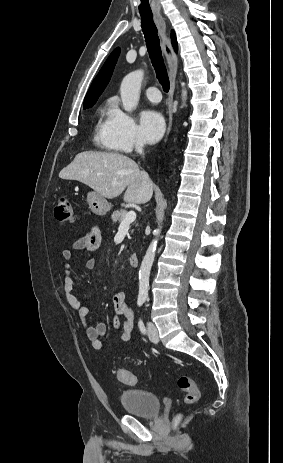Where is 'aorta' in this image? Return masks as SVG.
Returning <instances> with one entry per match:
<instances>
[{
    "mask_svg": "<svg viewBox=\"0 0 283 463\" xmlns=\"http://www.w3.org/2000/svg\"><path fill=\"white\" fill-rule=\"evenodd\" d=\"M143 70H136L124 77L120 86V94L123 103V108L127 112L133 111L140 99V89L143 80ZM182 101L183 106L187 99V90L185 89V83H182ZM161 228L155 230V239L150 243L139 271V294L138 298L146 300L148 297L149 290V278L151 268L154 262L155 253L157 249L158 236L160 235Z\"/></svg>",
    "mask_w": 283,
    "mask_h": 463,
    "instance_id": "obj_1",
    "label": "aorta"
}]
</instances>
